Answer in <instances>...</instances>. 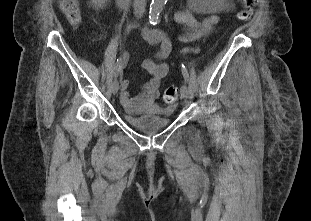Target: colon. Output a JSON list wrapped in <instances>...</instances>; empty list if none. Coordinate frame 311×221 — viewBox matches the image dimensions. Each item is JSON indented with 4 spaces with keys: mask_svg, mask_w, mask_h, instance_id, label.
Segmentation results:
<instances>
[{
    "mask_svg": "<svg viewBox=\"0 0 311 221\" xmlns=\"http://www.w3.org/2000/svg\"><path fill=\"white\" fill-rule=\"evenodd\" d=\"M245 9L238 13L241 22H249L252 19L254 5L257 0H243ZM59 7L73 27H78L81 23L82 14L78 0H59ZM178 89L175 86H168L163 93V101L166 105H172L177 101Z\"/></svg>",
    "mask_w": 311,
    "mask_h": 221,
    "instance_id": "colon-1",
    "label": "colon"
}]
</instances>
